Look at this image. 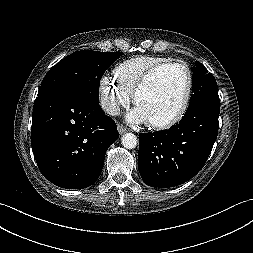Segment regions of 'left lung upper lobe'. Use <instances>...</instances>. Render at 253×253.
<instances>
[{
    "label": "left lung upper lobe",
    "mask_w": 253,
    "mask_h": 253,
    "mask_svg": "<svg viewBox=\"0 0 253 253\" xmlns=\"http://www.w3.org/2000/svg\"><path fill=\"white\" fill-rule=\"evenodd\" d=\"M193 95L190 98L188 108L202 102L214 101L219 102L217 83L214 76L200 62H195V67H192Z\"/></svg>",
    "instance_id": "left-lung-upper-lobe-1"
}]
</instances>
